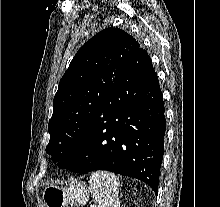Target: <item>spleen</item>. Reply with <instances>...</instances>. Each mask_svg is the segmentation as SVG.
Segmentation results:
<instances>
[{
    "label": "spleen",
    "instance_id": "3e777b00",
    "mask_svg": "<svg viewBox=\"0 0 220 207\" xmlns=\"http://www.w3.org/2000/svg\"><path fill=\"white\" fill-rule=\"evenodd\" d=\"M89 190L98 207H118L119 202V179L107 171L93 172L90 176Z\"/></svg>",
    "mask_w": 220,
    "mask_h": 207
}]
</instances>
